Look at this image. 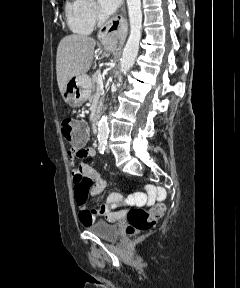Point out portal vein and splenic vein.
Masks as SVG:
<instances>
[{
    "instance_id": "1",
    "label": "portal vein and splenic vein",
    "mask_w": 240,
    "mask_h": 288,
    "mask_svg": "<svg viewBox=\"0 0 240 288\" xmlns=\"http://www.w3.org/2000/svg\"><path fill=\"white\" fill-rule=\"evenodd\" d=\"M99 87L98 90H103V83H102V79H99Z\"/></svg>"
}]
</instances>
